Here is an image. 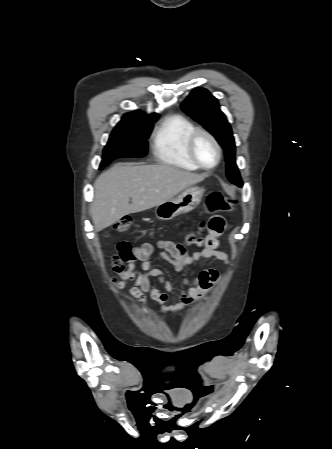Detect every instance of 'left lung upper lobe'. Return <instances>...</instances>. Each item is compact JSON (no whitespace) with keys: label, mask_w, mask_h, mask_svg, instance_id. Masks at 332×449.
<instances>
[{"label":"left lung upper lobe","mask_w":332,"mask_h":449,"mask_svg":"<svg viewBox=\"0 0 332 449\" xmlns=\"http://www.w3.org/2000/svg\"><path fill=\"white\" fill-rule=\"evenodd\" d=\"M181 108L216 138L225 152L228 179L241 187L242 180L235 162L234 137L217 99L206 89L196 88L185 99Z\"/></svg>","instance_id":"obj_1"}]
</instances>
